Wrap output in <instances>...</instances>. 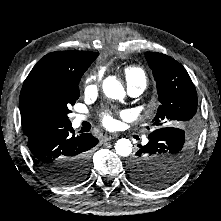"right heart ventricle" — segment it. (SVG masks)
<instances>
[{"mask_svg": "<svg viewBox=\"0 0 221 221\" xmlns=\"http://www.w3.org/2000/svg\"><path fill=\"white\" fill-rule=\"evenodd\" d=\"M126 81L129 84H142L146 86L147 79L144 70L137 66H128L124 70Z\"/></svg>", "mask_w": 221, "mask_h": 221, "instance_id": "obj_1", "label": "right heart ventricle"}]
</instances>
